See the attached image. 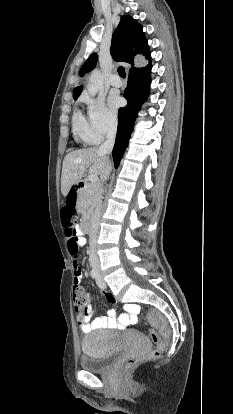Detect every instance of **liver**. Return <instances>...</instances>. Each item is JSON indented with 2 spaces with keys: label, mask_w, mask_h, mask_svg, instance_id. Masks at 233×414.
<instances>
[{
  "label": "liver",
  "mask_w": 233,
  "mask_h": 414,
  "mask_svg": "<svg viewBox=\"0 0 233 414\" xmlns=\"http://www.w3.org/2000/svg\"><path fill=\"white\" fill-rule=\"evenodd\" d=\"M76 161H80L76 163ZM108 163V157L99 153L96 147L79 149L68 153L62 165L61 192L66 197L71 187L79 181L87 168L89 174L101 175Z\"/></svg>",
  "instance_id": "6515ba94"
}]
</instances>
